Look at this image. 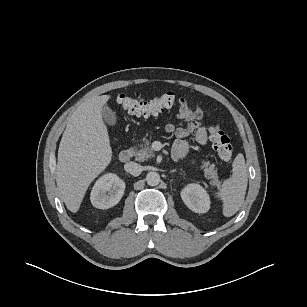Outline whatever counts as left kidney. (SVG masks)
<instances>
[{"label":"left kidney","instance_id":"5707ae66","mask_svg":"<svg viewBox=\"0 0 307 307\" xmlns=\"http://www.w3.org/2000/svg\"><path fill=\"white\" fill-rule=\"evenodd\" d=\"M185 205L195 213H206L210 209V197L206 190L197 183L188 184L181 191Z\"/></svg>","mask_w":307,"mask_h":307}]
</instances>
